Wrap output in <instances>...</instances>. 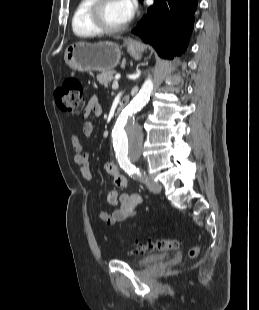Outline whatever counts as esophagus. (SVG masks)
Wrapping results in <instances>:
<instances>
[{
    "label": "esophagus",
    "instance_id": "34e87169",
    "mask_svg": "<svg viewBox=\"0 0 259 310\" xmlns=\"http://www.w3.org/2000/svg\"><path fill=\"white\" fill-rule=\"evenodd\" d=\"M132 45L134 46H137V43L136 42H131Z\"/></svg>",
    "mask_w": 259,
    "mask_h": 310
}]
</instances>
